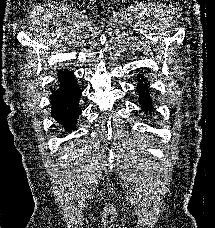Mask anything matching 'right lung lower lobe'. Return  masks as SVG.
I'll return each instance as SVG.
<instances>
[{"mask_svg":"<svg viewBox=\"0 0 215 228\" xmlns=\"http://www.w3.org/2000/svg\"><path fill=\"white\" fill-rule=\"evenodd\" d=\"M57 89H54L50 96L52 116L59 125H62L66 131L75 129L78 116L82 113L79 107L81 90L77 85L76 79L71 76L61 77Z\"/></svg>","mask_w":215,"mask_h":228,"instance_id":"1","label":"right lung lower lobe"}]
</instances>
